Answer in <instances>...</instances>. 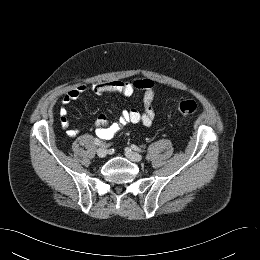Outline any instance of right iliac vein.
I'll return each instance as SVG.
<instances>
[{
    "instance_id": "1",
    "label": "right iliac vein",
    "mask_w": 260,
    "mask_h": 260,
    "mask_svg": "<svg viewBox=\"0 0 260 260\" xmlns=\"http://www.w3.org/2000/svg\"><path fill=\"white\" fill-rule=\"evenodd\" d=\"M97 155L100 158H104L107 155V150L105 148H98L97 149Z\"/></svg>"
}]
</instances>
